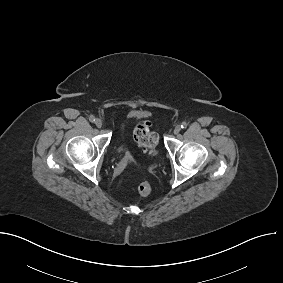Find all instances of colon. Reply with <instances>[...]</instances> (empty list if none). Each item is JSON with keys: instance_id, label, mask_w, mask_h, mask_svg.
<instances>
[{"instance_id": "1", "label": "colon", "mask_w": 283, "mask_h": 283, "mask_svg": "<svg viewBox=\"0 0 283 283\" xmlns=\"http://www.w3.org/2000/svg\"><path fill=\"white\" fill-rule=\"evenodd\" d=\"M133 137L135 141L145 150L151 151L156 142V136L150 131L149 124L146 121L139 122L134 130ZM152 188L148 182H142L139 186V193L147 196L151 193Z\"/></svg>"}]
</instances>
